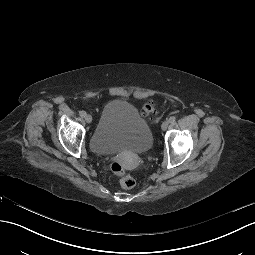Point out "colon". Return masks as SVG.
Returning <instances> with one entry per match:
<instances>
[{
  "label": "colon",
  "instance_id": "obj_1",
  "mask_svg": "<svg viewBox=\"0 0 255 255\" xmlns=\"http://www.w3.org/2000/svg\"><path fill=\"white\" fill-rule=\"evenodd\" d=\"M142 111L146 115L153 113L155 111V104L151 102L146 103L143 106ZM111 170L117 177H119V183L122 188L130 189L135 186L136 181L134 177L126 171L122 162L114 161L111 164Z\"/></svg>",
  "mask_w": 255,
  "mask_h": 255
}]
</instances>
